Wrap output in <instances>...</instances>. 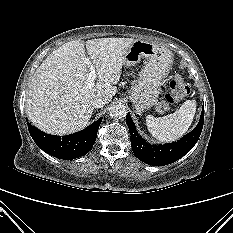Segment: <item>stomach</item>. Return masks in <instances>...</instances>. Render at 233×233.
Wrapping results in <instances>:
<instances>
[{"label": "stomach", "instance_id": "obj_1", "mask_svg": "<svg viewBox=\"0 0 233 233\" xmlns=\"http://www.w3.org/2000/svg\"><path fill=\"white\" fill-rule=\"evenodd\" d=\"M147 60L139 78L131 88L129 97L138 114L156 105L162 81L172 64V53L166 47L144 40H135L124 56V65L131 66Z\"/></svg>", "mask_w": 233, "mask_h": 233}]
</instances>
